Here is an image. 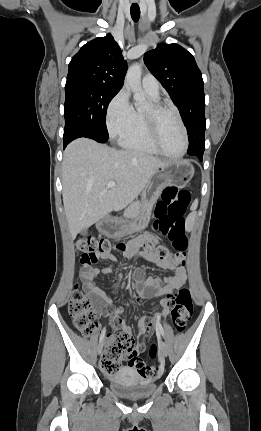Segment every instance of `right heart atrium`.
Returning a JSON list of instances; mask_svg holds the SVG:
<instances>
[{
  "mask_svg": "<svg viewBox=\"0 0 261 431\" xmlns=\"http://www.w3.org/2000/svg\"><path fill=\"white\" fill-rule=\"evenodd\" d=\"M134 108L127 90H120L110 101L106 110V124L112 138L120 137L131 125Z\"/></svg>",
  "mask_w": 261,
  "mask_h": 431,
  "instance_id": "right-heart-atrium-1",
  "label": "right heart atrium"
}]
</instances>
